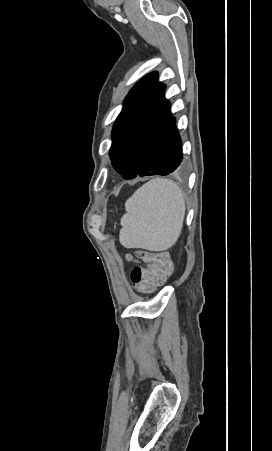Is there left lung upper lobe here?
Instances as JSON below:
<instances>
[{"label":"left lung upper lobe","instance_id":"left-lung-upper-lobe-1","mask_svg":"<svg viewBox=\"0 0 272 451\" xmlns=\"http://www.w3.org/2000/svg\"><path fill=\"white\" fill-rule=\"evenodd\" d=\"M157 73L143 77L129 92L113 128L110 159L124 179L134 178L150 141L170 104Z\"/></svg>","mask_w":272,"mask_h":451}]
</instances>
